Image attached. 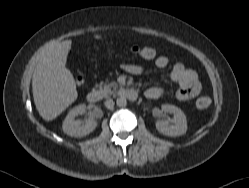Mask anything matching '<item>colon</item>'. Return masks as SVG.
<instances>
[{
    "instance_id": "colon-1",
    "label": "colon",
    "mask_w": 249,
    "mask_h": 188,
    "mask_svg": "<svg viewBox=\"0 0 249 188\" xmlns=\"http://www.w3.org/2000/svg\"><path fill=\"white\" fill-rule=\"evenodd\" d=\"M132 52L144 59H151L156 54V50L153 47H133ZM210 104L211 99L208 96H201L196 101V107L201 110L208 108Z\"/></svg>"
}]
</instances>
